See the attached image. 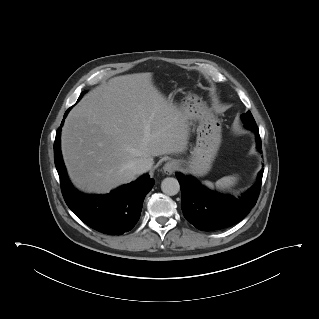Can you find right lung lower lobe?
I'll return each instance as SVG.
<instances>
[{
	"instance_id": "obj_1",
	"label": "right lung lower lobe",
	"mask_w": 319,
	"mask_h": 319,
	"mask_svg": "<svg viewBox=\"0 0 319 319\" xmlns=\"http://www.w3.org/2000/svg\"><path fill=\"white\" fill-rule=\"evenodd\" d=\"M60 133L61 127L54 142V161L68 207L81 221L101 233L120 235L130 231L139 220L143 200L153 187L154 179L144 175L107 195L83 194L74 189L67 177L60 149Z\"/></svg>"
}]
</instances>
